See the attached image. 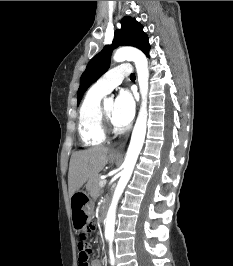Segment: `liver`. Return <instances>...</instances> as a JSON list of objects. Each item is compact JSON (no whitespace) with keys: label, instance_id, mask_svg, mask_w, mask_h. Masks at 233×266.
I'll list each match as a JSON object with an SVG mask.
<instances>
[{"label":"liver","instance_id":"6515ba94","mask_svg":"<svg viewBox=\"0 0 233 266\" xmlns=\"http://www.w3.org/2000/svg\"><path fill=\"white\" fill-rule=\"evenodd\" d=\"M107 147H93L72 154L68 173L69 196L72 197L87 181L97 177L107 163Z\"/></svg>","mask_w":233,"mask_h":266}]
</instances>
